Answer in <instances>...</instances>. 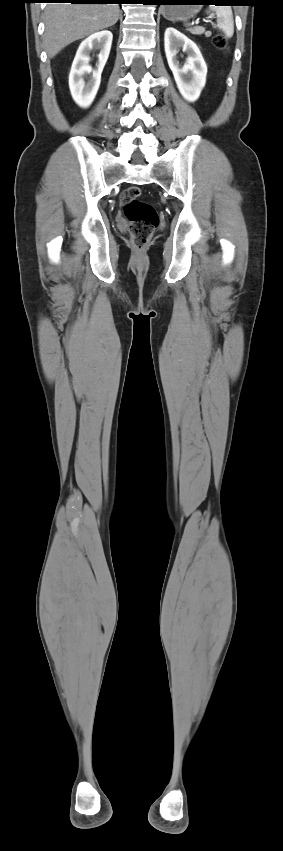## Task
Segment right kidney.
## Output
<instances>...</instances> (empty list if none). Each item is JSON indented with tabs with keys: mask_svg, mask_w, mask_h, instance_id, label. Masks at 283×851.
Here are the masks:
<instances>
[{
	"mask_svg": "<svg viewBox=\"0 0 283 851\" xmlns=\"http://www.w3.org/2000/svg\"><path fill=\"white\" fill-rule=\"evenodd\" d=\"M113 35L110 31L96 32L80 44L69 74V88L74 101L82 108H87L93 102L101 82V73L107 62ZM93 49L100 50L96 68L89 65L90 53ZM86 83L84 78L90 75Z\"/></svg>",
	"mask_w": 283,
	"mask_h": 851,
	"instance_id": "right-kidney-1",
	"label": "right kidney"
}]
</instances>
